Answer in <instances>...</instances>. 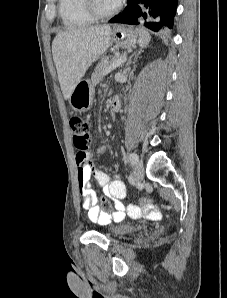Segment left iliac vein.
Here are the masks:
<instances>
[{"label": "left iliac vein", "mask_w": 227, "mask_h": 298, "mask_svg": "<svg viewBox=\"0 0 227 298\" xmlns=\"http://www.w3.org/2000/svg\"><path fill=\"white\" fill-rule=\"evenodd\" d=\"M144 176V167L141 163H137L134 169V180L140 182Z\"/></svg>", "instance_id": "left-iliac-vein-1"}]
</instances>
